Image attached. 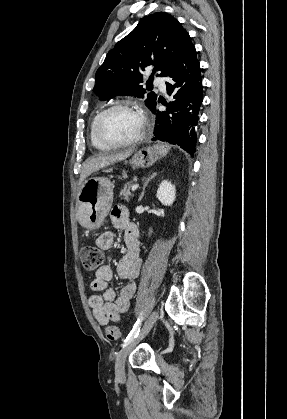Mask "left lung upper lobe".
I'll list each match as a JSON object with an SVG mask.
<instances>
[{"label":"left lung upper lobe","mask_w":287,"mask_h":419,"mask_svg":"<svg viewBox=\"0 0 287 419\" xmlns=\"http://www.w3.org/2000/svg\"><path fill=\"white\" fill-rule=\"evenodd\" d=\"M196 55L189 34L175 18L164 12L148 15L108 52L97 70L93 91L103 100L119 95L142 98L146 94L141 74L145 67L170 77L184 70ZM156 99L153 92L147 95L150 109Z\"/></svg>","instance_id":"left-lung-upper-lobe-1"}]
</instances>
